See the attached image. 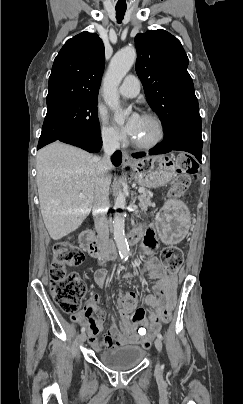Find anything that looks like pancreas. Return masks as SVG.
Wrapping results in <instances>:
<instances>
[{"label":"pancreas","instance_id":"1","mask_svg":"<svg viewBox=\"0 0 243 404\" xmlns=\"http://www.w3.org/2000/svg\"><path fill=\"white\" fill-rule=\"evenodd\" d=\"M152 192L144 191L141 196H139V206L141 208V212H147L148 206H151V196Z\"/></svg>","mask_w":243,"mask_h":404}]
</instances>
